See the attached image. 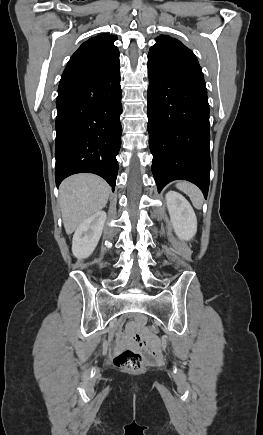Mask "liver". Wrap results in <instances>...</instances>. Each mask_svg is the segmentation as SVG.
Listing matches in <instances>:
<instances>
[{
    "label": "liver",
    "instance_id": "liver-1",
    "mask_svg": "<svg viewBox=\"0 0 263 435\" xmlns=\"http://www.w3.org/2000/svg\"><path fill=\"white\" fill-rule=\"evenodd\" d=\"M109 194V185L96 175L76 174L66 178L59 188L66 233L71 234L84 220L103 209Z\"/></svg>",
    "mask_w": 263,
    "mask_h": 435
}]
</instances>
